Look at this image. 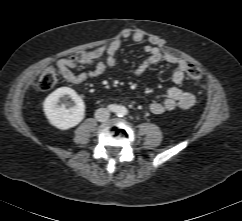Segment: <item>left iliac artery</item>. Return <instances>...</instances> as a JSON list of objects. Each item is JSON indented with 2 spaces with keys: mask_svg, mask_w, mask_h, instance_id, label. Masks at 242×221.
Returning a JSON list of instances; mask_svg holds the SVG:
<instances>
[{
  "mask_svg": "<svg viewBox=\"0 0 242 221\" xmlns=\"http://www.w3.org/2000/svg\"><path fill=\"white\" fill-rule=\"evenodd\" d=\"M119 116H123L124 115V111L123 110H120L119 113H118Z\"/></svg>",
  "mask_w": 242,
  "mask_h": 221,
  "instance_id": "1",
  "label": "left iliac artery"
}]
</instances>
